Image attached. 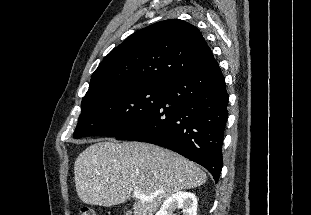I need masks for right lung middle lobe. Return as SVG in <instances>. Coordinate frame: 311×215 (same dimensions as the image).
<instances>
[{"label":"right lung middle lobe","instance_id":"right-lung-middle-lobe-1","mask_svg":"<svg viewBox=\"0 0 311 215\" xmlns=\"http://www.w3.org/2000/svg\"><path fill=\"white\" fill-rule=\"evenodd\" d=\"M163 85H137L86 96L74 138L117 136L155 110L163 100Z\"/></svg>","mask_w":311,"mask_h":215}]
</instances>
